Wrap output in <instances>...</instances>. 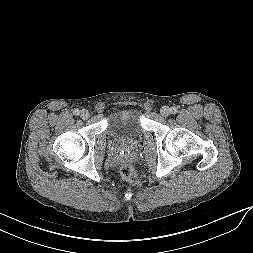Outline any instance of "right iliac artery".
I'll use <instances>...</instances> for the list:
<instances>
[{"mask_svg":"<svg viewBox=\"0 0 253 253\" xmlns=\"http://www.w3.org/2000/svg\"><path fill=\"white\" fill-rule=\"evenodd\" d=\"M73 114L78 116L80 114V111L78 109H74Z\"/></svg>","mask_w":253,"mask_h":253,"instance_id":"1","label":"right iliac artery"}]
</instances>
